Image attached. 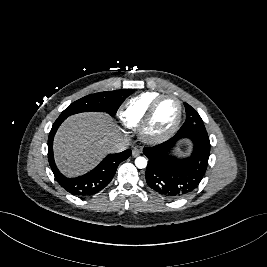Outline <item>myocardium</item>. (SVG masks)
<instances>
[{
	"instance_id": "myocardium-1",
	"label": "myocardium",
	"mask_w": 267,
	"mask_h": 267,
	"mask_svg": "<svg viewBox=\"0 0 267 267\" xmlns=\"http://www.w3.org/2000/svg\"><path fill=\"white\" fill-rule=\"evenodd\" d=\"M167 98H172L174 99L177 104H178V115H177V119L174 123V125L172 126V128L167 131L164 134L161 135H153L149 132L148 128H149V124L153 118V115L158 107V105L165 99ZM182 116H183V104L182 101L174 94H162L161 96H159L158 98H156L148 107V109L146 110L140 124L138 127V131H139V135L140 138L149 144H159L162 143L168 139H170L172 136H174V134L178 131L181 121H182Z\"/></svg>"
}]
</instances>
